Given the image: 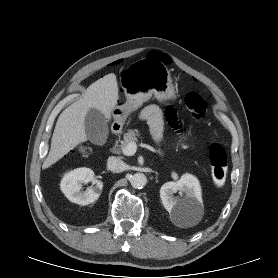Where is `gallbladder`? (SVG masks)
Returning <instances> with one entry per match:
<instances>
[{"label":"gallbladder","instance_id":"gallbladder-1","mask_svg":"<svg viewBox=\"0 0 278 278\" xmlns=\"http://www.w3.org/2000/svg\"><path fill=\"white\" fill-rule=\"evenodd\" d=\"M85 131L87 139L96 145H104L109 129L104 115L95 108H90L85 116Z\"/></svg>","mask_w":278,"mask_h":278}]
</instances>
